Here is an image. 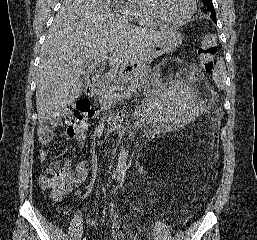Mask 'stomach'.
Segmentation results:
<instances>
[{"label": "stomach", "mask_w": 257, "mask_h": 240, "mask_svg": "<svg viewBox=\"0 0 257 240\" xmlns=\"http://www.w3.org/2000/svg\"><path fill=\"white\" fill-rule=\"evenodd\" d=\"M182 42V35L175 29H165L163 36L151 48L144 53L143 57L135 63L136 70L145 67L152 60L176 49ZM135 70V71H136Z\"/></svg>", "instance_id": "0dacf381"}]
</instances>
